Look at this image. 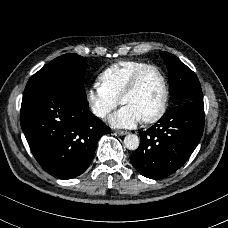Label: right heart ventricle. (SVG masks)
<instances>
[{
  "label": "right heart ventricle",
  "mask_w": 228,
  "mask_h": 228,
  "mask_svg": "<svg viewBox=\"0 0 228 228\" xmlns=\"http://www.w3.org/2000/svg\"><path fill=\"white\" fill-rule=\"evenodd\" d=\"M147 65L148 62L136 60L115 62L99 74L100 84L113 97L120 100L133 76Z\"/></svg>",
  "instance_id": "obj_1"
}]
</instances>
